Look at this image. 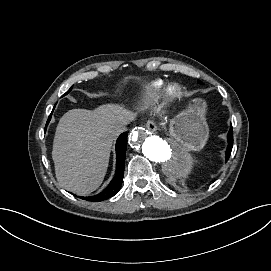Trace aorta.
Here are the masks:
<instances>
[{
    "mask_svg": "<svg viewBox=\"0 0 271 271\" xmlns=\"http://www.w3.org/2000/svg\"><path fill=\"white\" fill-rule=\"evenodd\" d=\"M129 144L152 162L159 163L168 177H184L195 164L190 155L192 148L187 143L179 139L166 141L159 136L150 135L143 127L131 131Z\"/></svg>",
    "mask_w": 271,
    "mask_h": 271,
    "instance_id": "obj_1",
    "label": "aorta"
}]
</instances>
